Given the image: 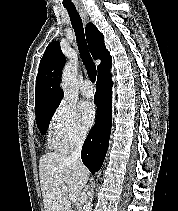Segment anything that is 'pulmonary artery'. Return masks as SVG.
<instances>
[{
    "label": "pulmonary artery",
    "instance_id": "e3ab8cb5",
    "mask_svg": "<svg viewBox=\"0 0 178 211\" xmlns=\"http://www.w3.org/2000/svg\"><path fill=\"white\" fill-rule=\"evenodd\" d=\"M81 92L86 97H91L94 94L93 85L91 81L85 80L81 86Z\"/></svg>",
    "mask_w": 178,
    "mask_h": 211
}]
</instances>
